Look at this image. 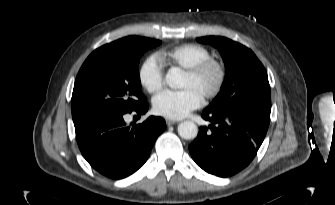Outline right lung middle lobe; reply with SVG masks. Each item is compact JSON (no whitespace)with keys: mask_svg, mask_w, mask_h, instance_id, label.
<instances>
[{"mask_svg":"<svg viewBox=\"0 0 335 205\" xmlns=\"http://www.w3.org/2000/svg\"><path fill=\"white\" fill-rule=\"evenodd\" d=\"M159 40L129 36L106 44L86 59L79 70L71 99L72 118L133 111L146 100L138 64Z\"/></svg>","mask_w":335,"mask_h":205,"instance_id":"dd1d6c3e","label":"right lung middle lobe"}]
</instances>
